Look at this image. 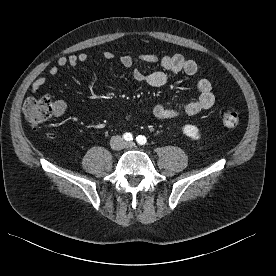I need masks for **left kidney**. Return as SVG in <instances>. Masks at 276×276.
<instances>
[{"label": "left kidney", "instance_id": "obj_1", "mask_svg": "<svg viewBox=\"0 0 276 276\" xmlns=\"http://www.w3.org/2000/svg\"><path fill=\"white\" fill-rule=\"evenodd\" d=\"M182 131L186 136L190 137L193 140L200 139L199 129L194 125H190V124L185 125L182 128Z\"/></svg>", "mask_w": 276, "mask_h": 276}]
</instances>
